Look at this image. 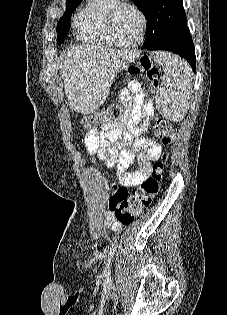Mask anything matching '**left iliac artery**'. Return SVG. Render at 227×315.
<instances>
[{
	"mask_svg": "<svg viewBox=\"0 0 227 315\" xmlns=\"http://www.w3.org/2000/svg\"><path fill=\"white\" fill-rule=\"evenodd\" d=\"M116 249H117L116 243H113L111 245V247L109 248L108 261H107V265H106V269H105V273L107 275H110V264H111V261H112V259L114 257V254L116 252Z\"/></svg>",
	"mask_w": 227,
	"mask_h": 315,
	"instance_id": "44dca946",
	"label": "left iliac artery"
}]
</instances>
